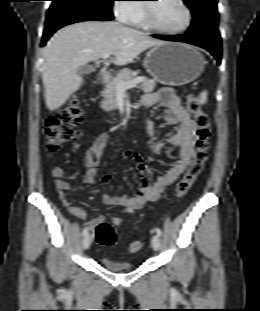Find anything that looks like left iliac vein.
Wrapping results in <instances>:
<instances>
[{"label": "left iliac vein", "instance_id": "left-iliac-vein-1", "mask_svg": "<svg viewBox=\"0 0 260 311\" xmlns=\"http://www.w3.org/2000/svg\"><path fill=\"white\" fill-rule=\"evenodd\" d=\"M151 245H152V248L155 251L159 250V248H160V238H159L158 235H153L152 240H151Z\"/></svg>", "mask_w": 260, "mask_h": 311}]
</instances>
